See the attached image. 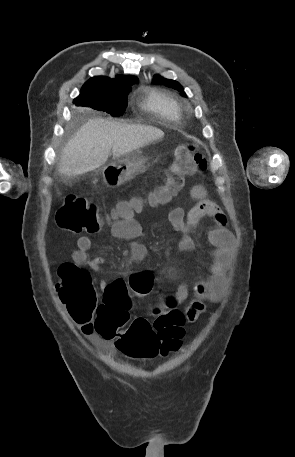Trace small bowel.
<instances>
[{"label":"small bowel","instance_id":"1","mask_svg":"<svg viewBox=\"0 0 295 457\" xmlns=\"http://www.w3.org/2000/svg\"><path fill=\"white\" fill-rule=\"evenodd\" d=\"M191 196L197 202L185 212L181 207H171L168 210V218L174 230L180 234L179 248L182 251H192L195 242L192 231L204 217H211L217 226L207 234V241L212 246L211 263L208 267L209 277L195 283L193 293L195 299L185 310L186 325L195 323L201 314L205 312V301H215L222 293L225 279L226 266L230 250L234 243L232 233L226 228L227 219L220 207L208 198L207 191L201 185H195L191 189ZM111 235L120 240H134L141 236L142 226L133 215L114 221L110 226ZM77 250L73 252V260L77 265H86L93 271H99L104 263L101 256L90 259L88 251L92 246V240L88 236H81L77 241ZM148 250L140 242L132 241L130 244V256L128 262L141 263L147 257ZM121 281V280H118ZM117 282V281H115ZM109 284L101 281L100 288L105 290ZM189 296V288L181 284L176 289L172 303L177 306L183 303ZM80 331L86 336H94L96 333L92 322L75 320ZM156 357V356H155Z\"/></svg>","mask_w":295,"mask_h":457}]
</instances>
